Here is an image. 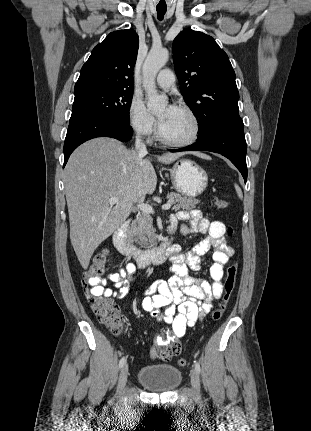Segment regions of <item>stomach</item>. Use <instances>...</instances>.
<instances>
[{
	"label": "stomach",
	"instance_id": "obj_1",
	"mask_svg": "<svg viewBox=\"0 0 311 431\" xmlns=\"http://www.w3.org/2000/svg\"><path fill=\"white\" fill-rule=\"evenodd\" d=\"M169 172L175 192L188 198H197L208 186L205 170L193 160H178Z\"/></svg>",
	"mask_w": 311,
	"mask_h": 431
}]
</instances>
